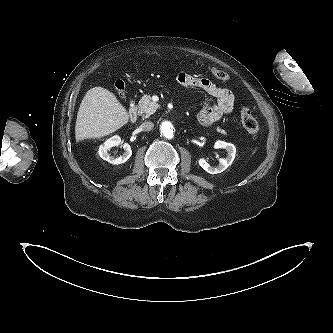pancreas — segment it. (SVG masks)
Listing matches in <instances>:
<instances>
[{
	"instance_id": "pancreas-1",
	"label": "pancreas",
	"mask_w": 333,
	"mask_h": 333,
	"mask_svg": "<svg viewBox=\"0 0 333 333\" xmlns=\"http://www.w3.org/2000/svg\"><path fill=\"white\" fill-rule=\"evenodd\" d=\"M158 108H159V105L151 100L150 95H144L139 101L138 113L143 118H148ZM215 130L221 134H226V131L224 129H221L219 126L215 127Z\"/></svg>"
}]
</instances>
